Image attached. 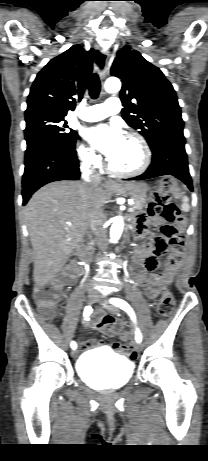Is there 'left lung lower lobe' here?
<instances>
[{
	"label": "left lung lower lobe",
	"mask_w": 208,
	"mask_h": 461,
	"mask_svg": "<svg viewBox=\"0 0 208 461\" xmlns=\"http://www.w3.org/2000/svg\"><path fill=\"white\" fill-rule=\"evenodd\" d=\"M184 146V137L170 136L161 139L151 149L152 163L147 171L140 176L125 180H145L162 175H172L192 190V180Z\"/></svg>",
	"instance_id": "1"
}]
</instances>
